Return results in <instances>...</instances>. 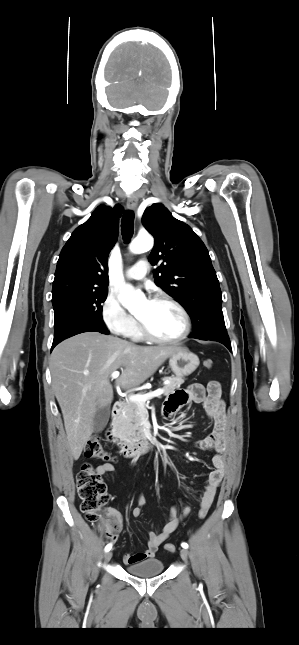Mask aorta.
I'll list each match as a JSON object with an SVG mask.
<instances>
[{"mask_svg":"<svg viewBox=\"0 0 299 645\" xmlns=\"http://www.w3.org/2000/svg\"><path fill=\"white\" fill-rule=\"evenodd\" d=\"M154 244L153 238L149 235L136 237L131 245L130 250L132 253L140 254L152 249ZM120 303L131 313L136 311L140 302L144 299V295L135 291L131 286H123L118 296Z\"/></svg>","mask_w":299,"mask_h":645,"instance_id":"obj_1","label":"aorta"}]
</instances>
